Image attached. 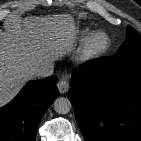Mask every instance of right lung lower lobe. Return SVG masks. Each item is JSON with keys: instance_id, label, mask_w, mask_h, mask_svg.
Segmentation results:
<instances>
[{"instance_id": "1", "label": "right lung lower lobe", "mask_w": 141, "mask_h": 141, "mask_svg": "<svg viewBox=\"0 0 141 141\" xmlns=\"http://www.w3.org/2000/svg\"><path fill=\"white\" fill-rule=\"evenodd\" d=\"M55 75L29 81L19 94L0 108V141H35L39 123L59 96Z\"/></svg>"}]
</instances>
